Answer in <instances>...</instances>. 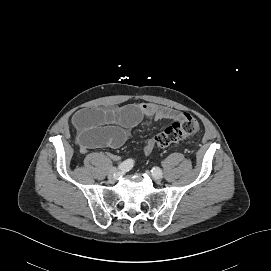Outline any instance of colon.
I'll return each instance as SVG.
<instances>
[{"instance_id": "1", "label": "colon", "mask_w": 271, "mask_h": 271, "mask_svg": "<svg viewBox=\"0 0 271 271\" xmlns=\"http://www.w3.org/2000/svg\"><path fill=\"white\" fill-rule=\"evenodd\" d=\"M199 129L197 120L188 113L182 118L167 127L163 132L151 140L154 148H165L195 134Z\"/></svg>"}]
</instances>
